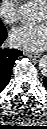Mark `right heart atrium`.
<instances>
[{"label":"right heart atrium","mask_w":47,"mask_h":129,"mask_svg":"<svg viewBox=\"0 0 47 129\" xmlns=\"http://www.w3.org/2000/svg\"><path fill=\"white\" fill-rule=\"evenodd\" d=\"M0 18L7 24H13L18 19V0H1Z\"/></svg>","instance_id":"right-heart-atrium-1"}]
</instances>
